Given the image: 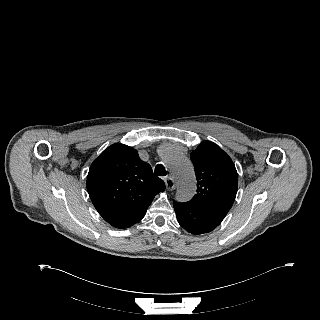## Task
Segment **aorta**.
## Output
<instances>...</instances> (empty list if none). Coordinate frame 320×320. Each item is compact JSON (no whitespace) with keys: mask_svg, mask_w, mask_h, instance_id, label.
<instances>
[{"mask_svg":"<svg viewBox=\"0 0 320 320\" xmlns=\"http://www.w3.org/2000/svg\"><path fill=\"white\" fill-rule=\"evenodd\" d=\"M164 162L177 181L176 199L189 201L196 190V178L192 163L183 154L169 150L164 155Z\"/></svg>","mask_w":320,"mask_h":320,"instance_id":"1","label":"aorta"}]
</instances>
